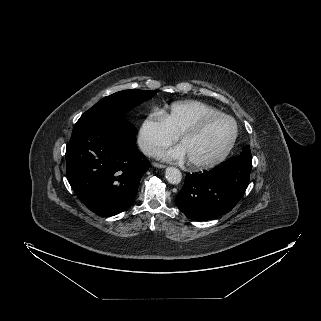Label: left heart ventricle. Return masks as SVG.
<instances>
[{
  "instance_id": "obj_1",
  "label": "left heart ventricle",
  "mask_w": 321,
  "mask_h": 321,
  "mask_svg": "<svg viewBox=\"0 0 321 321\" xmlns=\"http://www.w3.org/2000/svg\"><path fill=\"white\" fill-rule=\"evenodd\" d=\"M233 133V124L227 119H215L199 132L181 141L188 160L206 162L216 158L226 147Z\"/></svg>"
}]
</instances>
